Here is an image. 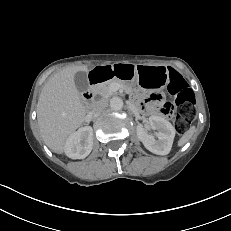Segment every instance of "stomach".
Here are the masks:
<instances>
[{
	"mask_svg": "<svg viewBox=\"0 0 231 231\" xmlns=\"http://www.w3.org/2000/svg\"><path fill=\"white\" fill-rule=\"evenodd\" d=\"M128 82H136L149 91H160L168 83V69L161 65L119 63L113 67Z\"/></svg>",
	"mask_w": 231,
	"mask_h": 231,
	"instance_id": "0dacf381",
	"label": "stomach"
}]
</instances>
